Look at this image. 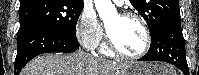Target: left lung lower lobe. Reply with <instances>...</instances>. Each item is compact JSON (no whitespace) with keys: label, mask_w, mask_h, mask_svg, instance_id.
Here are the masks:
<instances>
[{"label":"left lung lower lobe","mask_w":199,"mask_h":75,"mask_svg":"<svg viewBox=\"0 0 199 75\" xmlns=\"http://www.w3.org/2000/svg\"><path fill=\"white\" fill-rule=\"evenodd\" d=\"M139 60L167 62L189 75L180 19L171 20L162 27L160 33L151 38L147 54Z\"/></svg>","instance_id":"left-lung-lower-lobe-1"}]
</instances>
